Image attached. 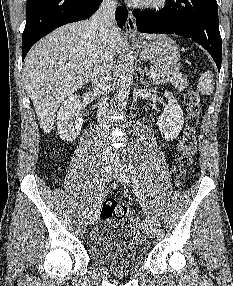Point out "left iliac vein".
I'll use <instances>...</instances> for the list:
<instances>
[{
	"label": "left iliac vein",
	"mask_w": 233,
	"mask_h": 286,
	"mask_svg": "<svg viewBox=\"0 0 233 286\" xmlns=\"http://www.w3.org/2000/svg\"><path fill=\"white\" fill-rule=\"evenodd\" d=\"M113 176L117 181H119L125 186H128L130 184V171L126 166H122L120 164L114 167ZM146 233L150 238H154L155 236V227L149 218H147L146 220Z\"/></svg>",
	"instance_id": "obj_1"
}]
</instances>
